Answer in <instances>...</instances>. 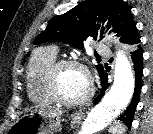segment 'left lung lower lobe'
<instances>
[{
    "label": "left lung lower lobe",
    "mask_w": 153,
    "mask_h": 134,
    "mask_svg": "<svg viewBox=\"0 0 153 134\" xmlns=\"http://www.w3.org/2000/svg\"><path fill=\"white\" fill-rule=\"evenodd\" d=\"M131 58H132V61L134 64V70H135V90H134L133 98L128 108L118 118L119 120L124 121L129 128L131 127L132 119H133L137 104L139 102L141 88H142L143 51L141 50L140 45H137L135 49L131 52ZM100 78H101V83H102V90L100 94L95 98L93 103H97L101 100V98L104 96V92L106 88H108L110 85L109 83H107V73L105 70H103L102 73H100Z\"/></svg>",
    "instance_id": "left-lung-lower-lobe-1"
}]
</instances>
